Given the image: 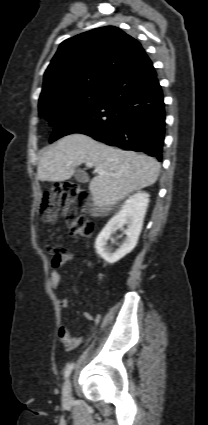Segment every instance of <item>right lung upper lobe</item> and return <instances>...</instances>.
<instances>
[{"label":"right lung upper lobe","mask_w":208,"mask_h":425,"mask_svg":"<svg viewBox=\"0 0 208 425\" xmlns=\"http://www.w3.org/2000/svg\"><path fill=\"white\" fill-rule=\"evenodd\" d=\"M145 55L136 39L115 26L69 38L45 71L39 102L84 89H106Z\"/></svg>","instance_id":"1"}]
</instances>
